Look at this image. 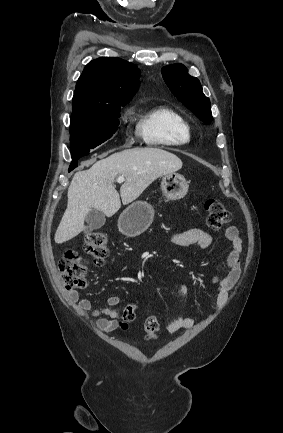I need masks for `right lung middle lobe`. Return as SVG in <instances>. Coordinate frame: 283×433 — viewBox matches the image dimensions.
<instances>
[{
  "label": "right lung middle lobe",
  "mask_w": 283,
  "mask_h": 433,
  "mask_svg": "<svg viewBox=\"0 0 283 433\" xmlns=\"http://www.w3.org/2000/svg\"><path fill=\"white\" fill-rule=\"evenodd\" d=\"M125 106V105H121ZM121 106L73 110L70 119L72 158L89 154L91 149L109 139L119 124Z\"/></svg>",
  "instance_id": "right-lung-middle-lobe-1"
}]
</instances>
